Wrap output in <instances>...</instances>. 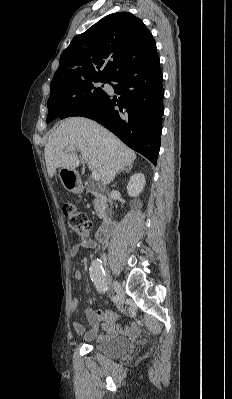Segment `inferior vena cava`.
<instances>
[{
  "label": "inferior vena cava",
  "mask_w": 232,
  "mask_h": 399,
  "mask_svg": "<svg viewBox=\"0 0 232 399\" xmlns=\"http://www.w3.org/2000/svg\"><path fill=\"white\" fill-rule=\"evenodd\" d=\"M103 255H106V252H103Z\"/></svg>",
  "instance_id": "inferior-vena-cava-1"
}]
</instances>
